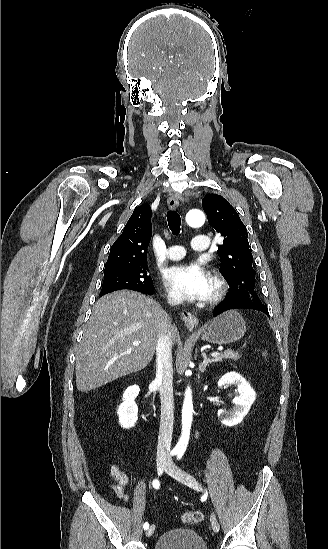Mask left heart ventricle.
I'll return each mask as SVG.
<instances>
[{
    "instance_id": "obj_1",
    "label": "left heart ventricle",
    "mask_w": 328,
    "mask_h": 549,
    "mask_svg": "<svg viewBox=\"0 0 328 549\" xmlns=\"http://www.w3.org/2000/svg\"><path fill=\"white\" fill-rule=\"evenodd\" d=\"M212 291H213V283H212V287H211V291H210V294L212 293ZM210 294H209V295H210Z\"/></svg>"
}]
</instances>
